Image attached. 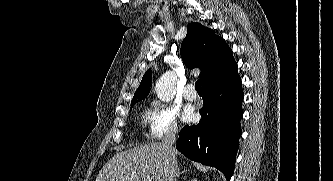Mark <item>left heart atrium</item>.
<instances>
[{"instance_id":"left-heart-atrium-1","label":"left heart atrium","mask_w":333,"mask_h":181,"mask_svg":"<svg viewBox=\"0 0 333 181\" xmlns=\"http://www.w3.org/2000/svg\"><path fill=\"white\" fill-rule=\"evenodd\" d=\"M193 117V111L190 108H185L182 113V118L184 121H189Z\"/></svg>"}]
</instances>
